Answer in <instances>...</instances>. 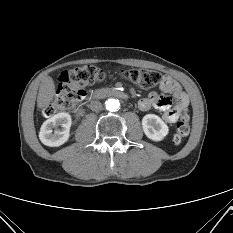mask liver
Returning a JSON list of instances; mask_svg holds the SVG:
<instances>
[{"mask_svg": "<svg viewBox=\"0 0 233 233\" xmlns=\"http://www.w3.org/2000/svg\"><path fill=\"white\" fill-rule=\"evenodd\" d=\"M55 96V84L51 77H44L39 87L37 96V107L43 109L47 107Z\"/></svg>", "mask_w": 233, "mask_h": 233, "instance_id": "obj_1", "label": "liver"}]
</instances>
